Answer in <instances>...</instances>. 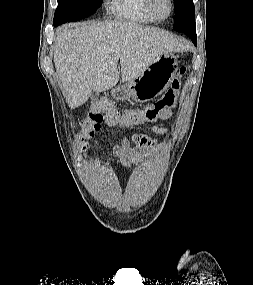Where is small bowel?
Returning a JSON list of instances; mask_svg holds the SVG:
<instances>
[{
    "instance_id": "1",
    "label": "small bowel",
    "mask_w": 253,
    "mask_h": 285,
    "mask_svg": "<svg viewBox=\"0 0 253 285\" xmlns=\"http://www.w3.org/2000/svg\"><path fill=\"white\" fill-rule=\"evenodd\" d=\"M170 113L171 109L168 108L164 111L160 118H164L170 115ZM152 130L158 134H163L167 129L165 127L153 126ZM154 145L155 141L150 137L145 135H134L131 139H122L118 144L115 145L114 150L118 155L121 156L124 165L131 167L140 161L143 156H145L143 153L144 149L153 147Z\"/></svg>"
}]
</instances>
